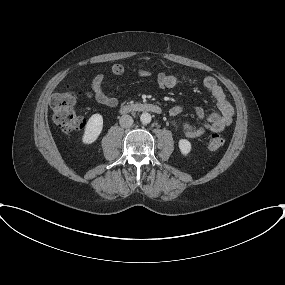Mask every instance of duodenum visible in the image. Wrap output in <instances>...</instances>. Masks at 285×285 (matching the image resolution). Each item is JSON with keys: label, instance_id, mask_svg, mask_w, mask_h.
Listing matches in <instances>:
<instances>
[{"label": "duodenum", "instance_id": "obj_1", "mask_svg": "<svg viewBox=\"0 0 285 285\" xmlns=\"http://www.w3.org/2000/svg\"><path fill=\"white\" fill-rule=\"evenodd\" d=\"M122 112H149V113H161V107L153 103H136L131 105H126L122 109Z\"/></svg>", "mask_w": 285, "mask_h": 285}]
</instances>
